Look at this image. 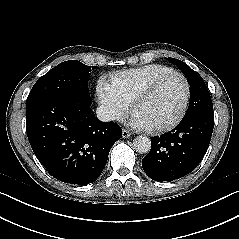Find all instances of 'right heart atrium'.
<instances>
[{"label":"right heart atrium","instance_id":"obj_1","mask_svg":"<svg viewBox=\"0 0 239 239\" xmlns=\"http://www.w3.org/2000/svg\"><path fill=\"white\" fill-rule=\"evenodd\" d=\"M97 98L103 115L111 121L123 119L129 112V104L118 95L112 84L101 78L96 87Z\"/></svg>","mask_w":239,"mask_h":239}]
</instances>
